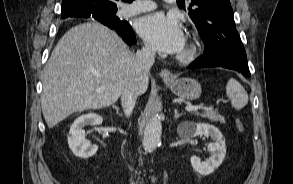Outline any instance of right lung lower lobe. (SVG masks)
Segmentation results:
<instances>
[{
  "mask_svg": "<svg viewBox=\"0 0 293 184\" xmlns=\"http://www.w3.org/2000/svg\"><path fill=\"white\" fill-rule=\"evenodd\" d=\"M83 18H94L101 22L102 24L108 26L111 29H114L122 39L129 45L136 42L135 35L131 28V25L127 21L120 20L118 18H111L102 11H93L88 14H84Z\"/></svg>",
  "mask_w": 293,
  "mask_h": 184,
  "instance_id": "right-lung-lower-lobe-1",
  "label": "right lung lower lobe"
}]
</instances>
